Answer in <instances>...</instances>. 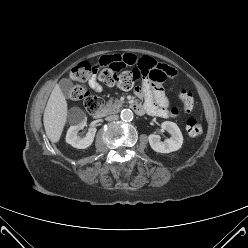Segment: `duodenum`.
<instances>
[{
    "mask_svg": "<svg viewBox=\"0 0 248 248\" xmlns=\"http://www.w3.org/2000/svg\"><path fill=\"white\" fill-rule=\"evenodd\" d=\"M131 108L136 112L137 114H142L143 113V108L139 104H131ZM106 110L102 109L98 111L97 113L94 114V117L96 119H101L106 115Z\"/></svg>",
    "mask_w": 248,
    "mask_h": 248,
    "instance_id": "410a0bca",
    "label": "duodenum"
}]
</instances>
